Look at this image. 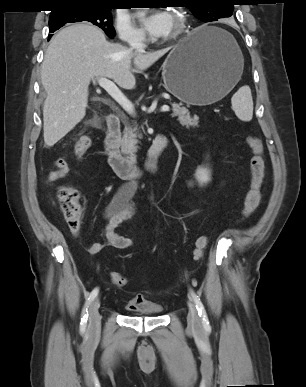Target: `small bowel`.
<instances>
[{
  "label": "small bowel",
  "instance_id": "obj_1",
  "mask_svg": "<svg viewBox=\"0 0 306 387\" xmlns=\"http://www.w3.org/2000/svg\"><path fill=\"white\" fill-rule=\"evenodd\" d=\"M55 170H51L46 175V181L49 183L59 181L69 173V166L65 159L56 157L54 159ZM133 194V186L127 185L122 187L111 202L104 210V218L106 226L104 230L105 243L93 242L87 246V251L90 254H97L105 245L116 249H128L133 246V240L118 234L115 229L125 220L131 218L134 214V205L131 202ZM144 303L141 296L131 300L127 308L130 310L136 309Z\"/></svg>",
  "mask_w": 306,
  "mask_h": 387
}]
</instances>
